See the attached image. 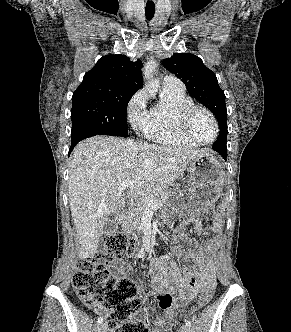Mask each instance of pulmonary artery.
<instances>
[{"mask_svg": "<svg viewBox=\"0 0 291 332\" xmlns=\"http://www.w3.org/2000/svg\"><path fill=\"white\" fill-rule=\"evenodd\" d=\"M163 89L184 91V84L181 80L173 75H166L162 80Z\"/></svg>", "mask_w": 291, "mask_h": 332, "instance_id": "1", "label": "pulmonary artery"}]
</instances>
